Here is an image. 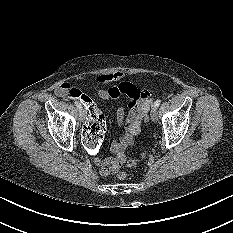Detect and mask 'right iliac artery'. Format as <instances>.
<instances>
[{
	"label": "right iliac artery",
	"instance_id": "obj_1",
	"mask_svg": "<svg viewBox=\"0 0 233 233\" xmlns=\"http://www.w3.org/2000/svg\"><path fill=\"white\" fill-rule=\"evenodd\" d=\"M75 105L77 106V108L80 110V109H82V106H81V104L79 103V102H75Z\"/></svg>",
	"mask_w": 233,
	"mask_h": 233
}]
</instances>
